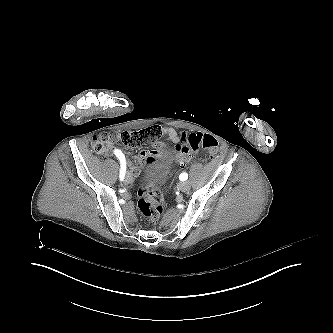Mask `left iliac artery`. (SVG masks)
I'll use <instances>...</instances> for the list:
<instances>
[{"label":"left iliac artery","mask_w":333,"mask_h":333,"mask_svg":"<svg viewBox=\"0 0 333 333\" xmlns=\"http://www.w3.org/2000/svg\"><path fill=\"white\" fill-rule=\"evenodd\" d=\"M187 178H188V174H187V173H182V174L179 176V179H180L181 181H185V180H187Z\"/></svg>","instance_id":"1"}]
</instances>
